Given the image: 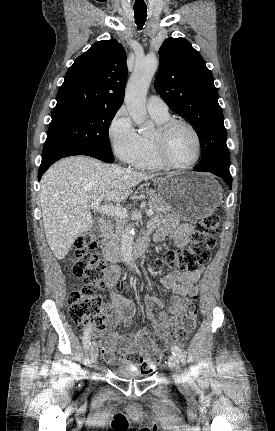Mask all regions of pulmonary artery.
Wrapping results in <instances>:
<instances>
[{"label": "pulmonary artery", "instance_id": "1", "mask_svg": "<svg viewBox=\"0 0 275 431\" xmlns=\"http://www.w3.org/2000/svg\"><path fill=\"white\" fill-rule=\"evenodd\" d=\"M146 107L149 113L161 115L168 113L167 104L157 95H151L147 98Z\"/></svg>", "mask_w": 275, "mask_h": 431}]
</instances>
